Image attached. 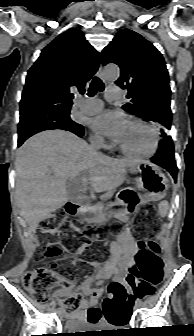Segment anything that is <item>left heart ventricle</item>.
<instances>
[{
	"label": "left heart ventricle",
	"mask_w": 194,
	"mask_h": 336,
	"mask_svg": "<svg viewBox=\"0 0 194 336\" xmlns=\"http://www.w3.org/2000/svg\"><path fill=\"white\" fill-rule=\"evenodd\" d=\"M118 144L131 152L144 153L152 147V136L145 128L137 124L126 123Z\"/></svg>",
	"instance_id": "b2bd125f"
}]
</instances>
